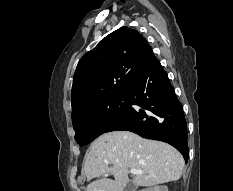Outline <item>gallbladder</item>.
Listing matches in <instances>:
<instances>
[{"mask_svg":"<svg viewBox=\"0 0 233 191\" xmlns=\"http://www.w3.org/2000/svg\"><path fill=\"white\" fill-rule=\"evenodd\" d=\"M135 185L133 184V182L130 180L128 182V184L125 186L123 191H135Z\"/></svg>","mask_w":233,"mask_h":191,"instance_id":"gallbladder-1","label":"gallbladder"}]
</instances>
